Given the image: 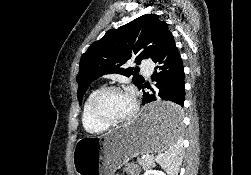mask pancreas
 Segmentation results:
<instances>
[{
    "instance_id": "pancreas-1",
    "label": "pancreas",
    "mask_w": 251,
    "mask_h": 175,
    "mask_svg": "<svg viewBox=\"0 0 251 175\" xmlns=\"http://www.w3.org/2000/svg\"><path fill=\"white\" fill-rule=\"evenodd\" d=\"M137 161H139L140 165H142L143 169H149L151 165H155L153 157L147 155V157H137Z\"/></svg>"
}]
</instances>
